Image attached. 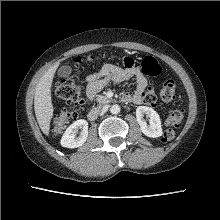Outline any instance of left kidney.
<instances>
[{"instance_id": "1", "label": "left kidney", "mask_w": 220, "mask_h": 220, "mask_svg": "<svg viewBox=\"0 0 220 220\" xmlns=\"http://www.w3.org/2000/svg\"><path fill=\"white\" fill-rule=\"evenodd\" d=\"M144 115L149 117V125L144 120ZM136 118L144 135L150 138L162 136L163 131L161 127V120L154 109L147 106H139L136 109Z\"/></svg>"}]
</instances>
